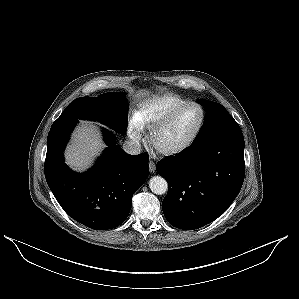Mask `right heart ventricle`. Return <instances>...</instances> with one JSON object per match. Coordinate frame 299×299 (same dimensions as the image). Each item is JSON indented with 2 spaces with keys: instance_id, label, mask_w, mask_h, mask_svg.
<instances>
[{
  "instance_id": "obj_1",
  "label": "right heart ventricle",
  "mask_w": 299,
  "mask_h": 299,
  "mask_svg": "<svg viewBox=\"0 0 299 299\" xmlns=\"http://www.w3.org/2000/svg\"><path fill=\"white\" fill-rule=\"evenodd\" d=\"M188 102L189 100L177 94L168 93L159 95L143 102L135 113L134 119H136L143 128L150 129L176 108Z\"/></svg>"
}]
</instances>
